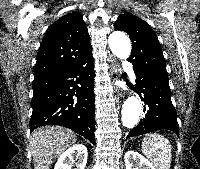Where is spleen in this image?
Masks as SVG:
<instances>
[{
	"instance_id": "3e777b00",
	"label": "spleen",
	"mask_w": 200,
	"mask_h": 169,
	"mask_svg": "<svg viewBox=\"0 0 200 169\" xmlns=\"http://www.w3.org/2000/svg\"><path fill=\"white\" fill-rule=\"evenodd\" d=\"M142 152L156 169H170L172 148L164 136L157 133L146 135L142 141Z\"/></svg>"
}]
</instances>
